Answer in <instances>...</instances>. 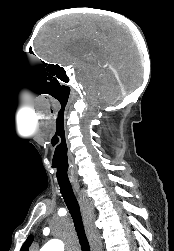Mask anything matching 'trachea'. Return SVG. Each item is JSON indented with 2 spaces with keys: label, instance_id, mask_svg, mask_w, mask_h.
Wrapping results in <instances>:
<instances>
[{
  "label": "trachea",
  "instance_id": "obj_1",
  "mask_svg": "<svg viewBox=\"0 0 174 251\" xmlns=\"http://www.w3.org/2000/svg\"><path fill=\"white\" fill-rule=\"evenodd\" d=\"M61 194L72 216L82 251H90L77 199L69 182H58Z\"/></svg>",
  "mask_w": 174,
  "mask_h": 251
}]
</instances>
